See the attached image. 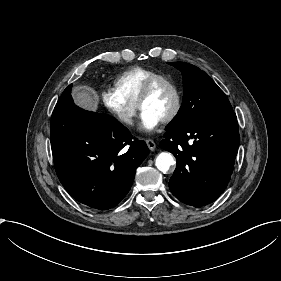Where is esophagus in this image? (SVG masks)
<instances>
[{"mask_svg": "<svg viewBox=\"0 0 281 281\" xmlns=\"http://www.w3.org/2000/svg\"><path fill=\"white\" fill-rule=\"evenodd\" d=\"M146 144H147L148 148H149L151 151L155 150L156 144H155V142H154L153 140L147 139V140H146Z\"/></svg>", "mask_w": 281, "mask_h": 281, "instance_id": "esophagus-1", "label": "esophagus"}]
</instances>
